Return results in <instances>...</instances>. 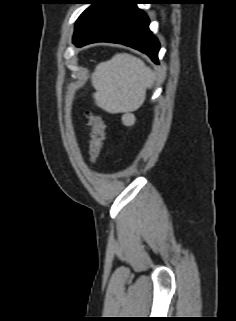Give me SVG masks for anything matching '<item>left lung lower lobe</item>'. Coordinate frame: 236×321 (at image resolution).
Wrapping results in <instances>:
<instances>
[{
	"instance_id": "1",
	"label": "left lung lower lobe",
	"mask_w": 236,
	"mask_h": 321,
	"mask_svg": "<svg viewBox=\"0 0 236 321\" xmlns=\"http://www.w3.org/2000/svg\"><path fill=\"white\" fill-rule=\"evenodd\" d=\"M141 3L145 0H93L74 34V45L119 43L147 54L158 64L160 44L149 30L147 15L136 6Z\"/></svg>"
}]
</instances>
